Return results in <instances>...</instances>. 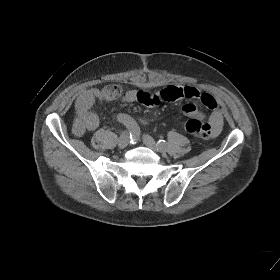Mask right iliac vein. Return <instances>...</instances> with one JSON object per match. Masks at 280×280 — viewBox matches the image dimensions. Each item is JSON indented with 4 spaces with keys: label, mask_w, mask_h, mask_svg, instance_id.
Wrapping results in <instances>:
<instances>
[{
    "label": "right iliac vein",
    "mask_w": 280,
    "mask_h": 280,
    "mask_svg": "<svg viewBox=\"0 0 280 280\" xmlns=\"http://www.w3.org/2000/svg\"><path fill=\"white\" fill-rule=\"evenodd\" d=\"M129 143V135L128 133L124 132L120 135L118 139V146L119 148H125Z\"/></svg>",
    "instance_id": "63e3f726"
}]
</instances>
